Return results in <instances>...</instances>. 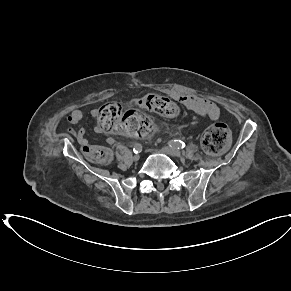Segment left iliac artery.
I'll return each mask as SVG.
<instances>
[{"label":"left iliac artery","instance_id":"left-iliac-artery-1","mask_svg":"<svg viewBox=\"0 0 291 291\" xmlns=\"http://www.w3.org/2000/svg\"><path fill=\"white\" fill-rule=\"evenodd\" d=\"M169 146L172 148H177V149H184L186 147L185 142L181 140H171L168 142Z\"/></svg>","mask_w":291,"mask_h":291}]
</instances>
